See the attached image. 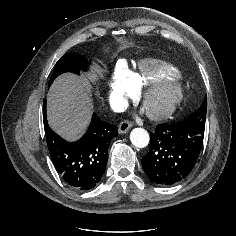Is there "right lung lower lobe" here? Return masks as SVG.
Masks as SVG:
<instances>
[{
    "instance_id": "98d812e1",
    "label": "right lung lower lobe",
    "mask_w": 236,
    "mask_h": 236,
    "mask_svg": "<svg viewBox=\"0 0 236 236\" xmlns=\"http://www.w3.org/2000/svg\"><path fill=\"white\" fill-rule=\"evenodd\" d=\"M43 121L48 150L56 171L77 190H88L97 185L105 172L110 141L118 135L117 126L93 114L84 136L67 142L51 130L43 101Z\"/></svg>"
}]
</instances>
